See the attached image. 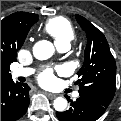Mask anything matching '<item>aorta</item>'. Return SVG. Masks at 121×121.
I'll use <instances>...</instances> for the list:
<instances>
[{"label": "aorta", "mask_w": 121, "mask_h": 121, "mask_svg": "<svg viewBox=\"0 0 121 121\" xmlns=\"http://www.w3.org/2000/svg\"><path fill=\"white\" fill-rule=\"evenodd\" d=\"M54 51L53 44L47 40L38 41L33 46V55L38 60L49 59ZM53 106L56 111L62 112L67 108V100L63 97H57L53 102Z\"/></svg>", "instance_id": "1"}]
</instances>
